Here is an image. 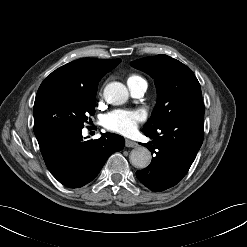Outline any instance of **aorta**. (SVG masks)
Here are the masks:
<instances>
[{"mask_svg": "<svg viewBox=\"0 0 247 247\" xmlns=\"http://www.w3.org/2000/svg\"><path fill=\"white\" fill-rule=\"evenodd\" d=\"M128 97L126 86L120 82H111L104 89V98L109 104H124ZM129 158L134 167L144 169L151 162V153L147 148L140 146L131 151Z\"/></svg>", "mask_w": 247, "mask_h": 247, "instance_id": "obj_1", "label": "aorta"}]
</instances>
